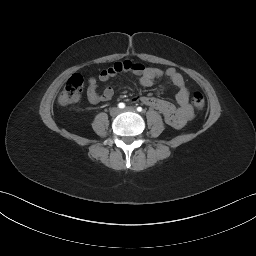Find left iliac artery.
Returning <instances> with one entry per match:
<instances>
[{
    "instance_id": "obj_1",
    "label": "left iliac artery",
    "mask_w": 256,
    "mask_h": 256,
    "mask_svg": "<svg viewBox=\"0 0 256 256\" xmlns=\"http://www.w3.org/2000/svg\"><path fill=\"white\" fill-rule=\"evenodd\" d=\"M137 111L142 112L143 111L142 107H137Z\"/></svg>"
}]
</instances>
